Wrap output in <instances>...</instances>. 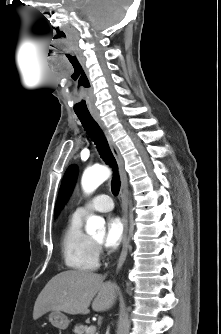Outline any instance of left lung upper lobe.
<instances>
[{
	"mask_svg": "<svg viewBox=\"0 0 221 334\" xmlns=\"http://www.w3.org/2000/svg\"><path fill=\"white\" fill-rule=\"evenodd\" d=\"M77 167L75 165L69 166L67 169L58 196V200L55 207V215L58 214L64 203L67 201L76 181L77 177Z\"/></svg>",
	"mask_w": 221,
	"mask_h": 334,
	"instance_id": "obj_1",
	"label": "left lung upper lobe"
}]
</instances>
